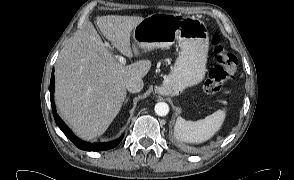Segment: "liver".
Instances as JSON below:
<instances>
[{"instance_id": "1", "label": "liver", "mask_w": 294, "mask_h": 180, "mask_svg": "<svg viewBox=\"0 0 294 180\" xmlns=\"http://www.w3.org/2000/svg\"><path fill=\"white\" fill-rule=\"evenodd\" d=\"M144 18L107 15L97 26L112 46L131 58L130 34ZM135 42V41H134ZM149 60L122 65L103 43L92 23L75 33L61 50L55 64V102L58 113L77 136L92 140L101 136L119 113L130 79H142Z\"/></svg>"}]
</instances>
